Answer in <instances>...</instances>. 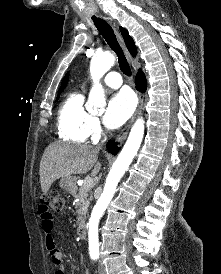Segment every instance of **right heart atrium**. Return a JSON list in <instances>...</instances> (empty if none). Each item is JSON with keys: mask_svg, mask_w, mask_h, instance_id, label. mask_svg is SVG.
Masks as SVG:
<instances>
[{"mask_svg": "<svg viewBox=\"0 0 221 274\" xmlns=\"http://www.w3.org/2000/svg\"><path fill=\"white\" fill-rule=\"evenodd\" d=\"M103 130L100 124V121L93 117L90 124V135L93 139H98L102 134Z\"/></svg>", "mask_w": 221, "mask_h": 274, "instance_id": "right-heart-atrium-1", "label": "right heart atrium"}]
</instances>
